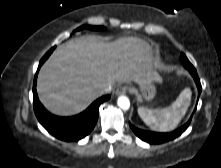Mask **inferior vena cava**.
<instances>
[{"label":"inferior vena cava","mask_w":221,"mask_h":168,"mask_svg":"<svg viewBox=\"0 0 221 168\" xmlns=\"http://www.w3.org/2000/svg\"><path fill=\"white\" fill-rule=\"evenodd\" d=\"M111 90H112V86L109 85V86H107V87H105V88H103V89L101 90V94H107V93H110Z\"/></svg>","instance_id":"inferior-vena-cava-1"}]
</instances>
